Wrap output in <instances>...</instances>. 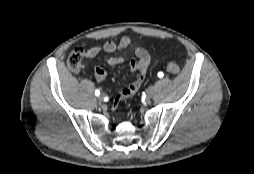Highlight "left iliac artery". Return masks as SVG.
I'll list each match as a JSON object with an SVG mask.
<instances>
[{
    "label": "left iliac artery",
    "mask_w": 254,
    "mask_h": 174,
    "mask_svg": "<svg viewBox=\"0 0 254 174\" xmlns=\"http://www.w3.org/2000/svg\"><path fill=\"white\" fill-rule=\"evenodd\" d=\"M163 76H164L163 72H159V73H158V77H159V78H162Z\"/></svg>",
    "instance_id": "left-iliac-artery-1"
}]
</instances>
